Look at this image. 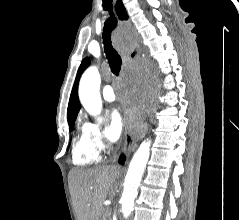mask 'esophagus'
I'll use <instances>...</instances> for the list:
<instances>
[{
	"label": "esophagus",
	"mask_w": 239,
	"mask_h": 220,
	"mask_svg": "<svg viewBox=\"0 0 239 220\" xmlns=\"http://www.w3.org/2000/svg\"><path fill=\"white\" fill-rule=\"evenodd\" d=\"M114 4H115V9H116L118 18L120 20H127L128 15L122 3V0H114ZM140 53H141L140 48H138L136 51L130 52L129 59L133 60V59L139 58ZM135 106L136 107L140 106L139 99L135 100ZM136 110L137 111L135 112L134 117L141 118L142 114L144 113V110L143 109L139 110L138 108ZM135 118H132L131 121H129L127 125V129H126V136H125V142L123 147V151L126 155H128L134 149L136 142L143 137L147 129V123L145 121V117H143L140 122V130L138 129L137 131H134L132 123L136 122Z\"/></svg>",
	"instance_id": "obj_1"
}]
</instances>
